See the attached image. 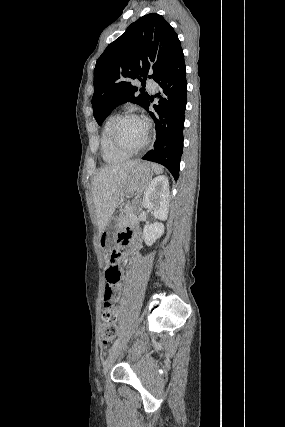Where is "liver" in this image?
<instances>
[{
	"label": "liver",
	"instance_id": "liver-1",
	"mask_svg": "<svg viewBox=\"0 0 285 427\" xmlns=\"http://www.w3.org/2000/svg\"><path fill=\"white\" fill-rule=\"evenodd\" d=\"M138 162L134 160L123 164L107 166L102 168L96 175L93 182L92 196L99 235L106 228L118 205L130 170Z\"/></svg>",
	"mask_w": 285,
	"mask_h": 427
}]
</instances>
